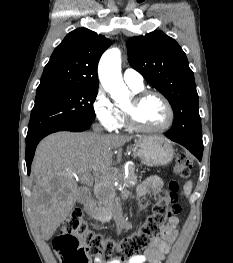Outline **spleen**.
I'll return each instance as SVG.
<instances>
[{"mask_svg":"<svg viewBox=\"0 0 233 263\" xmlns=\"http://www.w3.org/2000/svg\"><path fill=\"white\" fill-rule=\"evenodd\" d=\"M191 191H192V182L189 181L184 186L185 195L188 197L190 195Z\"/></svg>","mask_w":233,"mask_h":263,"instance_id":"spleen-1","label":"spleen"}]
</instances>
